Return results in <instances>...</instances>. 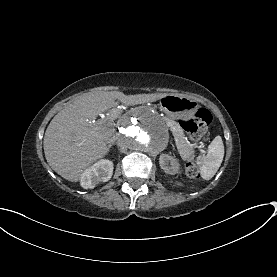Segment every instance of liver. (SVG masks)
I'll use <instances>...</instances> for the list:
<instances>
[{
	"instance_id": "obj_1",
	"label": "liver",
	"mask_w": 277,
	"mask_h": 277,
	"mask_svg": "<svg viewBox=\"0 0 277 277\" xmlns=\"http://www.w3.org/2000/svg\"><path fill=\"white\" fill-rule=\"evenodd\" d=\"M166 93L125 95L122 92L87 93L61 110L48 125L43 146L48 164L64 179L77 182L84 169L109 151L117 139L113 119L96 117L117 105L155 102Z\"/></svg>"
}]
</instances>
